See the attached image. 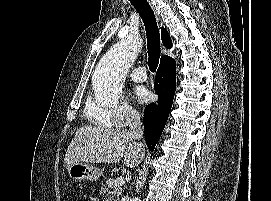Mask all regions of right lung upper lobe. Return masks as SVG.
<instances>
[{"label": "right lung upper lobe", "mask_w": 271, "mask_h": 201, "mask_svg": "<svg viewBox=\"0 0 271 201\" xmlns=\"http://www.w3.org/2000/svg\"><path fill=\"white\" fill-rule=\"evenodd\" d=\"M161 38H162V42L164 46L166 48H171L172 42H171L170 36L168 32L166 31V29H164L163 27L161 29ZM169 60H173V59L169 56H162L160 59V64H163L164 62L169 61Z\"/></svg>", "instance_id": "1"}]
</instances>
